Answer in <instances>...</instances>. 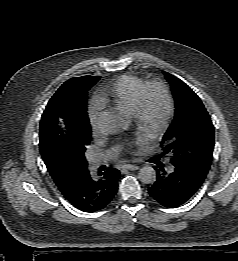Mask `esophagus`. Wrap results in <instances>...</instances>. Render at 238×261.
<instances>
[{
	"instance_id": "34e87169",
	"label": "esophagus",
	"mask_w": 238,
	"mask_h": 261,
	"mask_svg": "<svg viewBox=\"0 0 238 261\" xmlns=\"http://www.w3.org/2000/svg\"><path fill=\"white\" fill-rule=\"evenodd\" d=\"M122 168L123 169H128V170H137V169H139L138 166L132 165V164H124V165H122Z\"/></svg>"
}]
</instances>
